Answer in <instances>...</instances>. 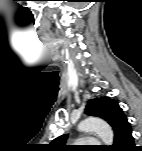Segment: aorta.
<instances>
[{"label":"aorta","instance_id":"aorta-1","mask_svg":"<svg viewBox=\"0 0 142 151\" xmlns=\"http://www.w3.org/2000/svg\"><path fill=\"white\" fill-rule=\"evenodd\" d=\"M77 129L80 132H95L102 142L111 146L114 140L112 128L99 118L89 117L78 124Z\"/></svg>","mask_w":142,"mask_h":151}]
</instances>
